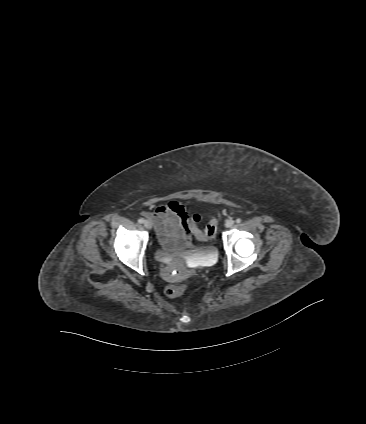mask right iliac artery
<instances>
[{
    "mask_svg": "<svg viewBox=\"0 0 366 424\" xmlns=\"http://www.w3.org/2000/svg\"><path fill=\"white\" fill-rule=\"evenodd\" d=\"M138 222H139L140 224H142V223L144 222V220H143L142 218H140V219H138Z\"/></svg>",
    "mask_w": 366,
    "mask_h": 424,
    "instance_id": "82829eb1",
    "label": "right iliac artery"
}]
</instances>
